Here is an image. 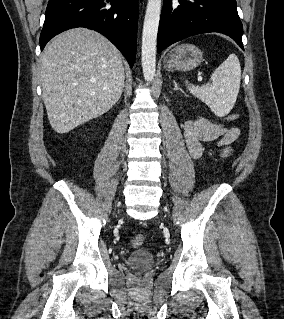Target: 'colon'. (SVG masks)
<instances>
[{
    "mask_svg": "<svg viewBox=\"0 0 284 319\" xmlns=\"http://www.w3.org/2000/svg\"><path fill=\"white\" fill-rule=\"evenodd\" d=\"M238 118V114L236 113H231L229 115H227L226 119L228 121H234ZM232 154V151L229 149V148H224L221 150V155L224 156V157H228ZM146 241V236L143 235V234H137L135 235L132 240H131V244L134 246V247H139L141 245H143Z\"/></svg>",
    "mask_w": 284,
    "mask_h": 319,
    "instance_id": "obj_1",
    "label": "colon"
}]
</instances>
